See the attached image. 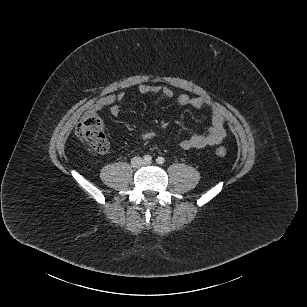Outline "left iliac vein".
<instances>
[{"label":"left iliac vein","mask_w":307,"mask_h":307,"mask_svg":"<svg viewBox=\"0 0 307 307\" xmlns=\"http://www.w3.org/2000/svg\"><path fill=\"white\" fill-rule=\"evenodd\" d=\"M145 165H149V164H151V163H144Z\"/></svg>","instance_id":"4c4485c4"}]
</instances>
